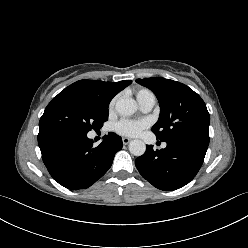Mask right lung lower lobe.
<instances>
[{
	"mask_svg": "<svg viewBox=\"0 0 248 248\" xmlns=\"http://www.w3.org/2000/svg\"><path fill=\"white\" fill-rule=\"evenodd\" d=\"M42 159L50 175L71 190L85 189L101 178L111 167L123 143L110 132L97 147L87 134L65 130H42L38 134Z\"/></svg>",
	"mask_w": 248,
	"mask_h": 248,
	"instance_id": "obj_1",
	"label": "right lung lower lobe"
}]
</instances>
